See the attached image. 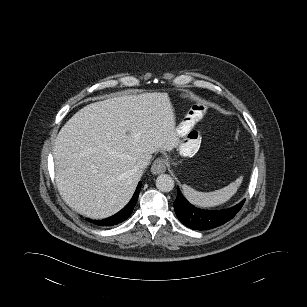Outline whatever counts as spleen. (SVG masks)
<instances>
[{"instance_id":"1","label":"spleen","mask_w":307,"mask_h":307,"mask_svg":"<svg viewBox=\"0 0 307 307\" xmlns=\"http://www.w3.org/2000/svg\"><path fill=\"white\" fill-rule=\"evenodd\" d=\"M241 182L242 177L236 179V181L222 189L208 193L196 191L195 189L185 185L183 186V193L187 200L195 206L213 207L229 200L236 193Z\"/></svg>"}]
</instances>
